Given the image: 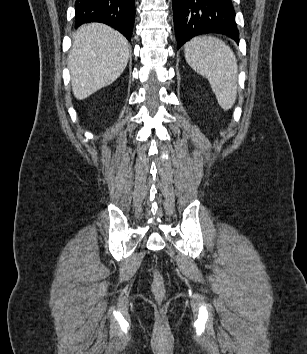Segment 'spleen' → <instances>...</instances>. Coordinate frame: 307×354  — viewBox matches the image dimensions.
I'll use <instances>...</instances> for the list:
<instances>
[{
    "label": "spleen",
    "mask_w": 307,
    "mask_h": 354,
    "mask_svg": "<svg viewBox=\"0 0 307 354\" xmlns=\"http://www.w3.org/2000/svg\"><path fill=\"white\" fill-rule=\"evenodd\" d=\"M185 59L198 74L206 77L219 105L232 108L237 97L236 56L222 40L212 36H197L184 45Z\"/></svg>",
    "instance_id": "spleen-1"
}]
</instances>
